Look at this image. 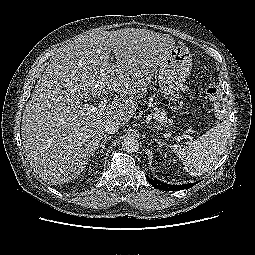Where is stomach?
I'll return each mask as SVG.
<instances>
[{
  "mask_svg": "<svg viewBox=\"0 0 255 255\" xmlns=\"http://www.w3.org/2000/svg\"><path fill=\"white\" fill-rule=\"evenodd\" d=\"M192 65V56L185 46H175L160 64L158 82L165 96L174 95L187 78Z\"/></svg>",
  "mask_w": 255,
  "mask_h": 255,
  "instance_id": "0dacf381",
  "label": "stomach"
}]
</instances>
